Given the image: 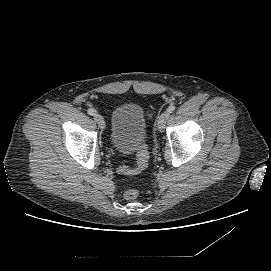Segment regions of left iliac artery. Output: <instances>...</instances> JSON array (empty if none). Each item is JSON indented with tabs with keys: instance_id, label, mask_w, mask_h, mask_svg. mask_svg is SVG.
<instances>
[{
	"instance_id": "44dca946",
	"label": "left iliac artery",
	"mask_w": 271,
	"mask_h": 271,
	"mask_svg": "<svg viewBox=\"0 0 271 271\" xmlns=\"http://www.w3.org/2000/svg\"><path fill=\"white\" fill-rule=\"evenodd\" d=\"M174 110H175V106H174V105H171V106H169V107L167 108V111H168L169 113H172Z\"/></svg>"
}]
</instances>
